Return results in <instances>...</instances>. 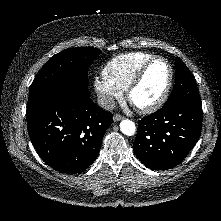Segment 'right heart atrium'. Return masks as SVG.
<instances>
[{"label": "right heart atrium", "instance_id": "d8ad5b80", "mask_svg": "<svg viewBox=\"0 0 221 221\" xmlns=\"http://www.w3.org/2000/svg\"><path fill=\"white\" fill-rule=\"evenodd\" d=\"M93 85L99 102L105 109L112 108L115 101L123 95V91L103 75L95 77Z\"/></svg>", "mask_w": 221, "mask_h": 221}]
</instances>
